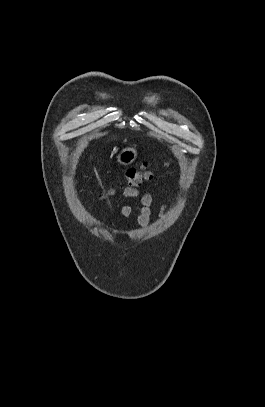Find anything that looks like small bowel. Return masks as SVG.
Wrapping results in <instances>:
<instances>
[{
  "label": "small bowel",
  "instance_id": "small-bowel-1",
  "mask_svg": "<svg viewBox=\"0 0 265 407\" xmlns=\"http://www.w3.org/2000/svg\"><path fill=\"white\" fill-rule=\"evenodd\" d=\"M124 205L121 208V215L127 217L132 213L131 200L140 198V209L137 217V224L139 227H146L151 219V206L153 204V197L150 193H145L140 195V192L137 188L126 187L123 191ZM166 207L163 205L160 208L158 213L159 218H162L164 215Z\"/></svg>",
  "mask_w": 265,
  "mask_h": 407
}]
</instances>
